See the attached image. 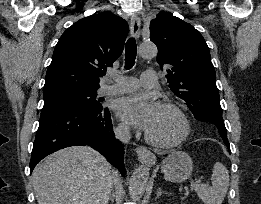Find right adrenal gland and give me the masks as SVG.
I'll return each instance as SVG.
<instances>
[{
  "label": "right adrenal gland",
  "instance_id": "1",
  "mask_svg": "<svg viewBox=\"0 0 261 204\" xmlns=\"http://www.w3.org/2000/svg\"><path fill=\"white\" fill-rule=\"evenodd\" d=\"M109 199H110L112 202H114V191H113V190H112V193H111Z\"/></svg>",
  "mask_w": 261,
  "mask_h": 204
}]
</instances>
